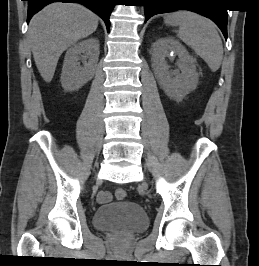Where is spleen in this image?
Segmentation results:
<instances>
[{
  "label": "spleen",
  "mask_w": 259,
  "mask_h": 266,
  "mask_svg": "<svg viewBox=\"0 0 259 266\" xmlns=\"http://www.w3.org/2000/svg\"><path fill=\"white\" fill-rule=\"evenodd\" d=\"M174 18L179 25L177 37L216 72L222 63L223 45L215 24L191 11H177Z\"/></svg>",
  "instance_id": "spleen-1"
}]
</instances>
